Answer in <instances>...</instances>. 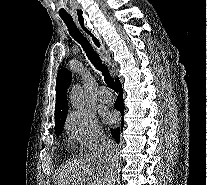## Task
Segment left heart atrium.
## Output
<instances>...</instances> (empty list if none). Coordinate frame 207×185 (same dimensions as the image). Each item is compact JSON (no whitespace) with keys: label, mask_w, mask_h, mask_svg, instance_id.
Masks as SVG:
<instances>
[{"label":"left heart atrium","mask_w":207,"mask_h":185,"mask_svg":"<svg viewBox=\"0 0 207 185\" xmlns=\"http://www.w3.org/2000/svg\"><path fill=\"white\" fill-rule=\"evenodd\" d=\"M104 117L106 120H109V121L112 120V115L110 113L104 115Z\"/></svg>","instance_id":"1"}]
</instances>
